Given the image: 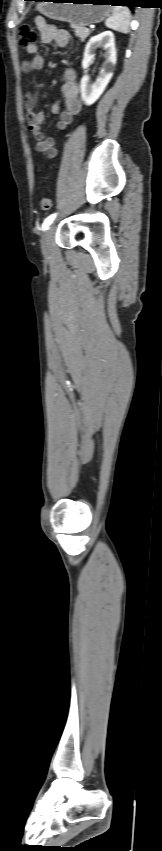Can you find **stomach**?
I'll use <instances>...</instances> for the list:
<instances>
[{
  "mask_svg": "<svg viewBox=\"0 0 162 851\" xmlns=\"http://www.w3.org/2000/svg\"><path fill=\"white\" fill-rule=\"evenodd\" d=\"M46 1L41 0L37 3V9L41 14L50 19L69 22L80 27L103 21L111 11V6L102 5L106 0Z\"/></svg>",
  "mask_w": 162,
  "mask_h": 851,
  "instance_id": "obj_1",
  "label": "stomach"
}]
</instances>
